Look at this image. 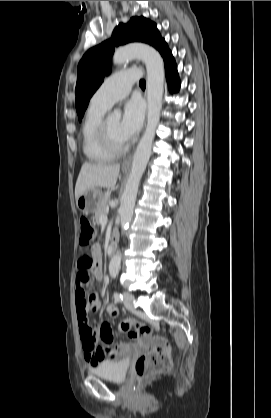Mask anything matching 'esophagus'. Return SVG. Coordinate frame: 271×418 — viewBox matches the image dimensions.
I'll return each mask as SVG.
<instances>
[{"mask_svg": "<svg viewBox=\"0 0 271 418\" xmlns=\"http://www.w3.org/2000/svg\"><path fill=\"white\" fill-rule=\"evenodd\" d=\"M132 161V155H129L124 161H123V167H128L130 166Z\"/></svg>", "mask_w": 271, "mask_h": 418, "instance_id": "34e87169", "label": "esophagus"}]
</instances>
